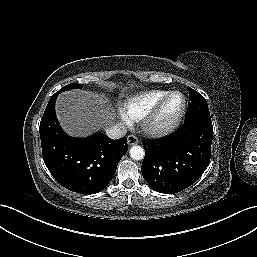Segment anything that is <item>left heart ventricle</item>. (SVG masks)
<instances>
[{"instance_id": "obj_1", "label": "left heart ventricle", "mask_w": 257, "mask_h": 257, "mask_svg": "<svg viewBox=\"0 0 257 257\" xmlns=\"http://www.w3.org/2000/svg\"><path fill=\"white\" fill-rule=\"evenodd\" d=\"M182 106V98L179 95H174L166 104L159 116V123L165 124L172 120L180 111Z\"/></svg>"}]
</instances>
